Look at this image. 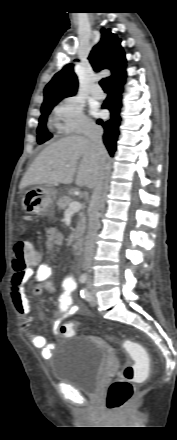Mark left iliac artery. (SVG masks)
<instances>
[{
	"mask_svg": "<svg viewBox=\"0 0 177 440\" xmlns=\"http://www.w3.org/2000/svg\"><path fill=\"white\" fill-rule=\"evenodd\" d=\"M80 294H81L82 298H84V299L87 300V301H90L91 296H90L89 291H88L86 288H83V289L80 291Z\"/></svg>",
	"mask_w": 177,
	"mask_h": 440,
	"instance_id": "1",
	"label": "left iliac artery"
}]
</instances>
